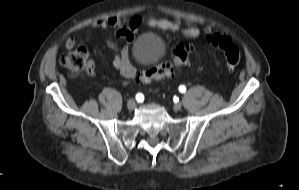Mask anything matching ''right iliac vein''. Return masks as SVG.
Here are the masks:
<instances>
[{"label": "right iliac vein", "mask_w": 299, "mask_h": 190, "mask_svg": "<svg viewBox=\"0 0 299 190\" xmlns=\"http://www.w3.org/2000/svg\"><path fill=\"white\" fill-rule=\"evenodd\" d=\"M136 107V102L133 100V99H130L128 102H127V108L129 110H134Z\"/></svg>", "instance_id": "63e3f726"}]
</instances>
